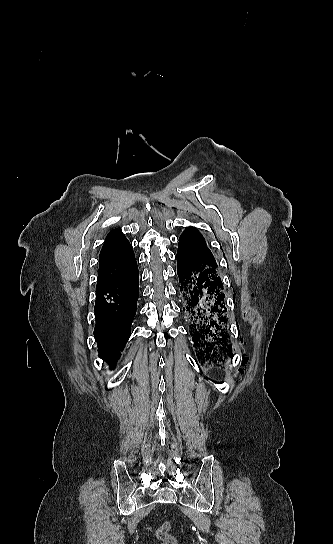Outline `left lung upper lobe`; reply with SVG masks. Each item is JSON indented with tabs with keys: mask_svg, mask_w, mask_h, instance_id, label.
<instances>
[{
	"mask_svg": "<svg viewBox=\"0 0 333 544\" xmlns=\"http://www.w3.org/2000/svg\"><path fill=\"white\" fill-rule=\"evenodd\" d=\"M178 247L187 248L202 260L218 267L213 254L206 245L205 239L197 229L193 227L186 228L179 238Z\"/></svg>",
	"mask_w": 333,
	"mask_h": 544,
	"instance_id": "obj_1",
	"label": "left lung upper lobe"
}]
</instances>
